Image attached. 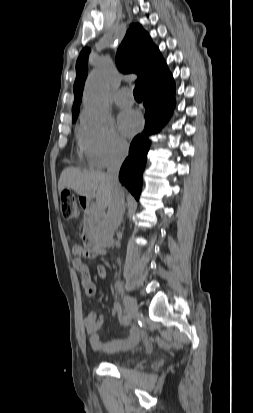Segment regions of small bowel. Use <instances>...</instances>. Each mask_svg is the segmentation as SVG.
<instances>
[{
  "label": "small bowel",
  "mask_w": 253,
  "mask_h": 413,
  "mask_svg": "<svg viewBox=\"0 0 253 413\" xmlns=\"http://www.w3.org/2000/svg\"><path fill=\"white\" fill-rule=\"evenodd\" d=\"M73 253L76 258L73 260L74 268L79 272L82 278V285L88 296H92L96 292V286L91 280V275L87 264L84 262V258L92 257L81 245H75ZM97 275L104 279L106 277V267L103 264H98ZM114 314H121V308L119 304L113 306ZM120 322L123 325L126 323L120 317ZM103 323L102 315L96 312H90L84 319L85 331L89 339V344L93 351L98 354L115 353L134 347L141 338V331L137 326H131L126 330V335L122 338H114L108 342H101L99 338V330Z\"/></svg>",
  "instance_id": "obj_1"
}]
</instances>
